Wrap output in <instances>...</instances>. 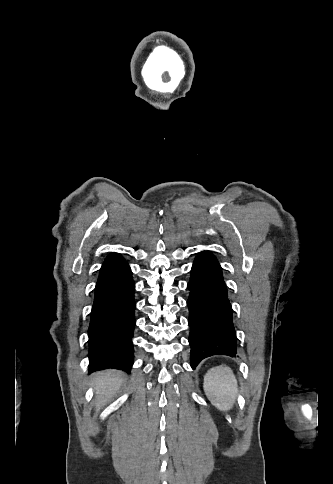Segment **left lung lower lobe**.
Wrapping results in <instances>:
<instances>
[{
    "mask_svg": "<svg viewBox=\"0 0 333 484\" xmlns=\"http://www.w3.org/2000/svg\"><path fill=\"white\" fill-rule=\"evenodd\" d=\"M190 295L189 344L191 367L212 355L235 357L236 333L221 267L210 251L199 252L187 285Z\"/></svg>",
    "mask_w": 333,
    "mask_h": 484,
    "instance_id": "left-lung-lower-lobe-1",
    "label": "left lung lower lobe"
}]
</instances>
